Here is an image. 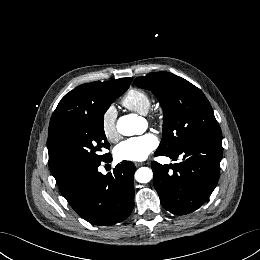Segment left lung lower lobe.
<instances>
[{"mask_svg":"<svg viewBox=\"0 0 260 260\" xmlns=\"http://www.w3.org/2000/svg\"><path fill=\"white\" fill-rule=\"evenodd\" d=\"M222 153L221 141L194 142L171 152L156 150V156L183 158L170 165L151 163L154 187L162 206L176 215L201 207L218 182Z\"/></svg>","mask_w":260,"mask_h":260,"instance_id":"left-lung-lower-lobe-1","label":"left lung lower lobe"}]
</instances>
